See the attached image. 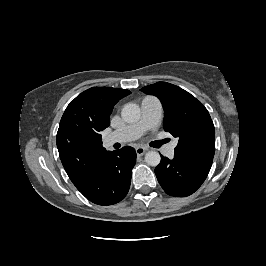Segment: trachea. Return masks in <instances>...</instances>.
Here are the masks:
<instances>
[{
  "label": "trachea",
  "instance_id": "1",
  "mask_svg": "<svg viewBox=\"0 0 266 266\" xmlns=\"http://www.w3.org/2000/svg\"><path fill=\"white\" fill-rule=\"evenodd\" d=\"M166 142H168V140H167V139L163 140V141H162V144H164V143H166Z\"/></svg>",
  "mask_w": 266,
  "mask_h": 266
}]
</instances>
